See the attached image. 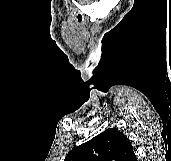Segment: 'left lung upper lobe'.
I'll return each mask as SVG.
<instances>
[{"mask_svg":"<svg viewBox=\"0 0 171 161\" xmlns=\"http://www.w3.org/2000/svg\"><path fill=\"white\" fill-rule=\"evenodd\" d=\"M133 146L117 128H110L72 149L64 161H131Z\"/></svg>","mask_w":171,"mask_h":161,"instance_id":"5c2ea615","label":"left lung upper lobe"}]
</instances>
